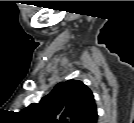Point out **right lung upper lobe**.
<instances>
[{
    "mask_svg": "<svg viewBox=\"0 0 134 123\" xmlns=\"http://www.w3.org/2000/svg\"><path fill=\"white\" fill-rule=\"evenodd\" d=\"M24 116L39 123H96L97 109L91 90L79 80L58 83L38 103L24 110Z\"/></svg>",
    "mask_w": 134,
    "mask_h": 123,
    "instance_id": "obj_1",
    "label": "right lung upper lobe"
}]
</instances>
